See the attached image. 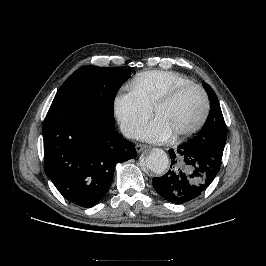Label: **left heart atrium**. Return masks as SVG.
Returning a JSON list of instances; mask_svg holds the SVG:
<instances>
[{"mask_svg": "<svg viewBox=\"0 0 266 266\" xmlns=\"http://www.w3.org/2000/svg\"><path fill=\"white\" fill-rule=\"evenodd\" d=\"M172 132L170 129L159 119H154L147 125L142 126L136 132V136L143 140L161 142L170 138Z\"/></svg>", "mask_w": 266, "mask_h": 266, "instance_id": "left-heart-atrium-1", "label": "left heart atrium"}]
</instances>
